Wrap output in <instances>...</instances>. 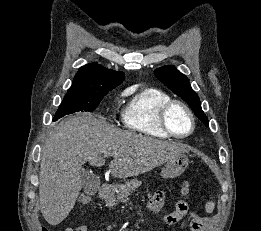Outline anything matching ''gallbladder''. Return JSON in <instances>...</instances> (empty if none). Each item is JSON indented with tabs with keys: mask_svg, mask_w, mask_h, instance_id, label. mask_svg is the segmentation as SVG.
Wrapping results in <instances>:
<instances>
[{
	"mask_svg": "<svg viewBox=\"0 0 261 231\" xmlns=\"http://www.w3.org/2000/svg\"><path fill=\"white\" fill-rule=\"evenodd\" d=\"M80 178L82 180V185L86 193L93 194L99 188L98 177L93 174H90L85 169L80 170Z\"/></svg>",
	"mask_w": 261,
	"mask_h": 231,
	"instance_id": "obj_1",
	"label": "gallbladder"
}]
</instances>
